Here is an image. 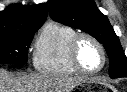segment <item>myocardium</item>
<instances>
[{
	"mask_svg": "<svg viewBox=\"0 0 127 92\" xmlns=\"http://www.w3.org/2000/svg\"><path fill=\"white\" fill-rule=\"evenodd\" d=\"M83 39H87L90 40L91 42H93L99 49V51L101 52L102 55V64L101 66L96 69V70H87L85 69L78 58V47L80 42ZM69 59L71 64L73 65V67L80 73H84V74H96L99 73L100 71H102L104 69V67L106 66L107 63V53L106 50L104 48V46L102 45V43L93 35L89 34V33H77L71 40L70 46H69Z\"/></svg>",
	"mask_w": 127,
	"mask_h": 92,
	"instance_id": "myocardium-1",
	"label": "myocardium"
}]
</instances>
